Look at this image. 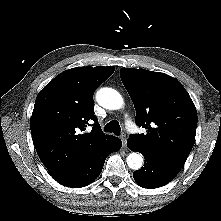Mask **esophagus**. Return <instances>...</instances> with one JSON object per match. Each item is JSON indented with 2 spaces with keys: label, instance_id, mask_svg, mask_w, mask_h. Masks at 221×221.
I'll use <instances>...</instances> for the list:
<instances>
[{
  "label": "esophagus",
  "instance_id": "esophagus-1",
  "mask_svg": "<svg viewBox=\"0 0 221 221\" xmlns=\"http://www.w3.org/2000/svg\"><path fill=\"white\" fill-rule=\"evenodd\" d=\"M122 143H123V147L126 148V144H127V137L125 133H122V135L120 136Z\"/></svg>",
  "mask_w": 221,
  "mask_h": 221
}]
</instances>
